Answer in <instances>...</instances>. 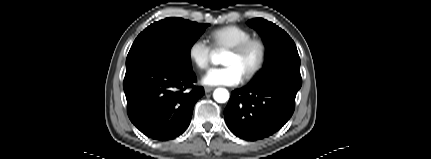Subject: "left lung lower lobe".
I'll return each mask as SVG.
<instances>
[{
  "label": "left lung lower lobe",
  "mask_w": 431,
  "mask_h": 159,
  "mask_svg": "<svg viewBox=\"0 0 431 159\" xmlns=\"http://www.w3.org/2000/svg\"><path fill=\"white\" fill-rule=\"evenodd\" d=\"M301 85V77L276 75L233 91L224 111L228 128L247 141L271 136L292 116Z\"/></svg>",
  "instance_id": "1"
}]
</instances>
